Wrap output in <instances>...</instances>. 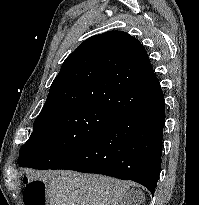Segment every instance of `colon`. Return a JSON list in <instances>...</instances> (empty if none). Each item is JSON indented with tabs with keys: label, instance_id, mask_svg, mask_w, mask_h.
Listing matches in <instances>:
<instances>
[{
	"label": "colon",
	"instance_id": "colon-1",
	"mask_svg": "<svg viewBox=\"0 0 199 205\" xmlns=\"http://www.w3.org/2000/svg\"><path fill=\"white\" fill-rule=\"evenodd\" d=\"M24 199L26 205H46L44 193L41 192L40 187L34 182L26 183Z\"/></svg>",
	"mask_w": 199,
	"mask_h": 205
}]
</instances>
